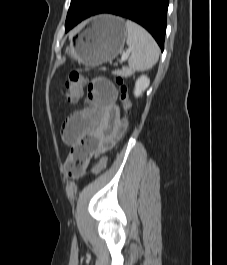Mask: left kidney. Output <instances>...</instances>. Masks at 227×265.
I'll use <instances>...</instances> for the list:
<instances>
[{
	"instance_id": "obj_1",
	"label": "left kidney",
	"mask_w": 227,
	"mask_h": 265,
	"mask_svg": "<svg viewBox=\"0 0 227 265\" xmlns=\"http://www.w3.org/2000/svg\"><path fill=\"white\" fill-rule=\"evenodd\" d=\"M149 84L150 80L147 76H140L135 83L134 95L136 97L141 96L142 93L148 88Z\"/></svg>"
}]
</instances>
